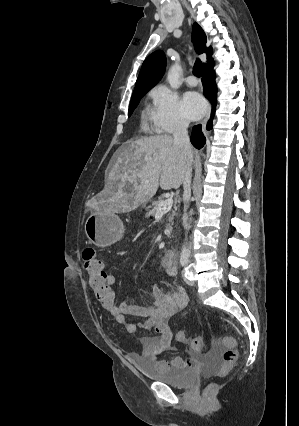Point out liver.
<instances>
[{
	"instance_id": "obj_1",
	"label": "liver",
	"mask_w": 299,
	"mask_h": 426,
	"mask_svg": "<svg viewBox=\"0 0 299 426\" xmlns=\"http://www.w3.org/2000/svg\"><path fill=\"white\" fill-rule=\"evenodd\" d=\"M193 150L185 154L170 135L144 137L119 149L109 183L99 203L113 212H129L150 200L159 186L178 189L184 180L186 162Z\"/></svg>"
}]
</instances>
